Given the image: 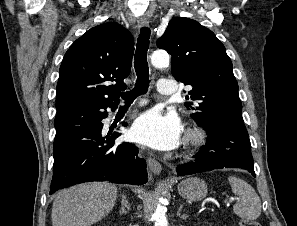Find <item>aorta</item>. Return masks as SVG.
I'll list each match as a JSON object with an SVG mask.
<instances>
[{
	"label": "aorta",
	"mask_w": 297,
	"mask_h": 226,
	"mask_svg": "<svg viewBox=\"0 0 297 226\" xmlns=\"http://www.w3.org/2000/svg\"><path fill=\"white\" fill-rule=\"evenodd\" d=\"M151 63L156 68H162L169 65V55L164 51H155L151 55ZM154 226H168L165 207L159 203L153 215Z\"/></svg>",
	"instance_id": "1"
}]
</instances>
